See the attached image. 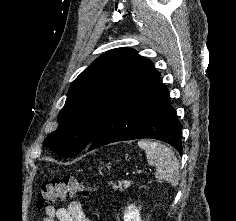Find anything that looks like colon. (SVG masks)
Instances as JSON below:
<instances>
[{"mask_svg":"<svg viewBox=\"0 0 236 221\" xmlns=\"http://www.w3.org/2000/svg\"><path fill=\"white\" fill-rule=\"evenodd\" d=\"M93 190L92 186L84 184L74 176H64L51 181H45L41 184L38 191L37 206L51 205L56 200L66 199L76 194L88 197Z\"/></svg>","mask_w":236,"mask_h":221,"instance_id":"colon-1","label":"colon"}]
</instances>
